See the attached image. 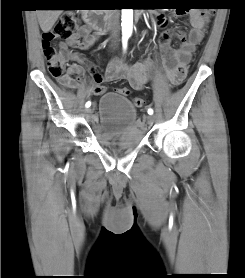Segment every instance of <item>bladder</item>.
I'll list each match as a JSON object with an SVG mask.
<instances>
[{
	"label": "bladder",
	"instance_id": "31cf9c89",
	"mask_svg": "<svg viewBox=\"0 0 245 278\" xmlns=\"http://www.w3.org/2000/svg\"><path fill=\"white\" fill-rule=\"evenodd\" d=\"M94 134L109 149H133L144 140L135 105L115 92L104 93L100 98Z\"/></svg>",
	"mask_w": 245,
	"mask_h": 278
}]
</instances>
